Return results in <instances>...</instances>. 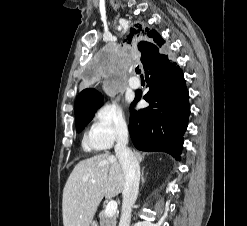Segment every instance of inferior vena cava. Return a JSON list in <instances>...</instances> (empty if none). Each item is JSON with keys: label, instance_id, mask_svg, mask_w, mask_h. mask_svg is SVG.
<instances>
[{"label": "inferior vena cava", "instance_id": "1", "mask_svg": "<svg viewBox=\"0 0 247 226\" xmlns=\"http://www.w3.org/2000/svg\"><path fill=\"white\" fill-rule=\"evenodd\" d=\"M128 129L126 126L118 130L115 154L120 161L125 184L123 189V203L119 226H130L132 207L137 199L140 182V166L134 153L127 147Z\"/></svg>", "mask_w": 247, "mask_h": 226}]
</instances>
